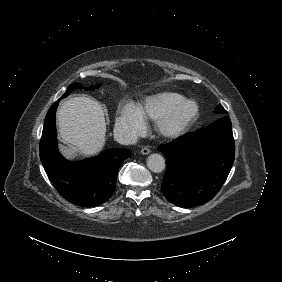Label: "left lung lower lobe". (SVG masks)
<instances>
[{
	"instance_id": "0a47b994",
	"label": "left lung lower lobe",
	"mask_w": 282,
	"mask_h": 282,
	"mask_svg": "<svg viewBox=\"0 0 282 282\" xmlns=\"http://www.w3.org/2000/svg\"><path fill=\"white\" fill-rule=\"evenodd\" d=\"M158 150L166 158L161 184L165 197L183 208L204 204L220 190L234 162L231 120L224 116Z\"/></svg>"
}]
</instances>
